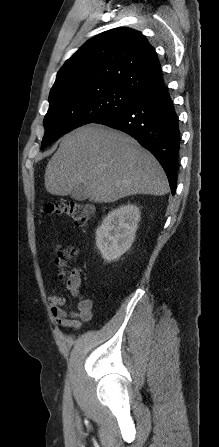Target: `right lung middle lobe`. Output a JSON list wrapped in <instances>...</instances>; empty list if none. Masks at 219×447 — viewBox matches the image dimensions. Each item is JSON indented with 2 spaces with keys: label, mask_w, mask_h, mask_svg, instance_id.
Segmentation results:
<instances>
[{
  "label": "right lung middle lobe",
  "mask_w": 219,
  "mask_h": 447,
  "mask_svg": "<svg viewBox=\"0 0 219 447\" xmlns=\"http://www.w3.org/2000/svg\"><path fill=\"white\" fill-rule=\"evenodd\" d=\"M138 98L111 85L75 86L50 93L41 149L61 135L130 105Z\"/></svg>",
  "instance_id": "dd1d6c3e"
}]
</instances>
